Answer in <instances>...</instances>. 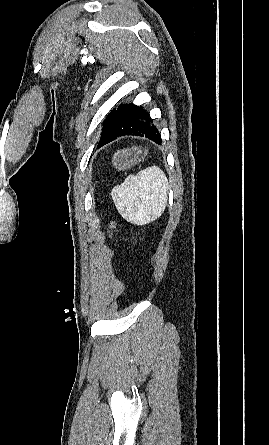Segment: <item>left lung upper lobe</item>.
Returning <instances> with one entry per match:
<instances>
[{"mask_svg":"<svg viewBox=\"0 0 269 445\" xmlns=\"http://www.w3.org/2000/svg\"><path fill=\"white\" fill-rule=\"evenodd\" d=\"M114 111V110H113ZM113 111L109 114V116H107V118L105 119L104 123H103V128L106 125V123L108 122L110 116L112 115Z\"/></svg>","mask_w":269,"mask_h":445,"instance_id":"5c2ea615","label":"left lung upper lobe"}]
</instances>
